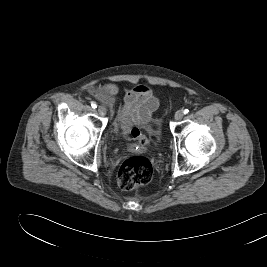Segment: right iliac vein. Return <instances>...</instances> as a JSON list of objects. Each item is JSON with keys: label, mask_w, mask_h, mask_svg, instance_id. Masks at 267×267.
Wrapping results in <instances>:
<instances>
[{"label": "right iliac vein", "mask_w": 267, "mask_h": 267, "mask_svg": "<svg viewBox=\"0 0 267 267\" xmlns=\"http://www.w3.org/2000/svg\"><path fill=\"white\" fill-rule=\"evenodd\" d=\"M97 110H98V113L101 116H105L106 115L107 110H106V108L104 106H99Z\"/></svg>", "instance_id": "right-iliac-vein-1"}]
</instances>
